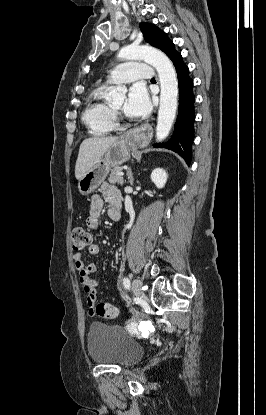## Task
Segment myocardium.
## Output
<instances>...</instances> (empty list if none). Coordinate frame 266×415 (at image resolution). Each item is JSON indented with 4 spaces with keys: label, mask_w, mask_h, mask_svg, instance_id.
Wrapping results in <instances>:
<instances>
[{
    "label": "myocardium",
    "mask_w": 266,
    "mask_h": 415,
    "mask_svg": "<svg viewBox=\"0 0 266 415\" xmlns=\"http://www.w3.org/2000/svg\"><path fill=\"white\" fill-rule=\"evenodd\" d=\"M113 110L116 114L120 115V109H117V108L113 107Z\"/></svg>",
    "instance_id": "myocardium-1"
}]
</instances>
